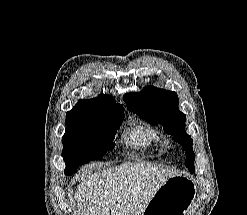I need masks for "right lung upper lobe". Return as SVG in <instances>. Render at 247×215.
Here are the masks:
<instances>
[{"instance_id": "cb5924a9", "label": "right lung upper lobe", "mask_w": 247, "mask_h": 215, "mask_svg": "<svg viewBox=\"0 0 247 215\" xmlns=\"http://www.w3.org/2000/svg\"><path fill=\"white\" fill-rule=\"evenodd\" d=\"M78 105L91 111L103 113H124V107L117 104L111 95H99V97L90 100H80Z\"/></svg>"}]
</instances>
